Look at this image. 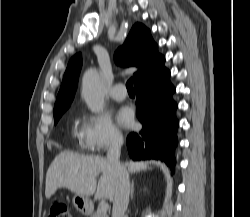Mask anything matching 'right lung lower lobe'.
<instances>
[{
	"label": "right lung lower lobe",
	"instance_id": "98d812e1",
	"mask_svg": "<svg viewBox=\"0 0 250 217\" xmlns=\"http://www.w3.org/2000/svg\"><path fill=\"white\" fill-rule=\"evenodd\" d=\"M164 62L162 57L134 83L136 116L142 130L128 135L127 147L133 160L159 159L173 169L179 121L175 115L177 103L172 99L175 88L169 81L170 72Z\"/></svg>",
	"mask_w": 250,
	"mask_h": 217
}]
</instances>
